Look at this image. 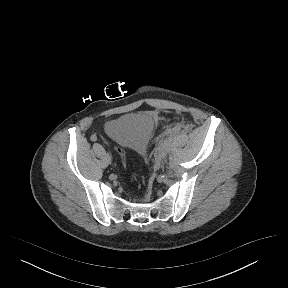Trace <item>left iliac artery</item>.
I'll use <instances>...</instances> for the list:
<instances>
[{"instance_id": "left-iliac-artery-1", "label": "left iliac artery", "mask_w": 288, "mask_h": 288, "mask_svg": "<svg viewBox=\"0 0 288 288\" xmlns=\"http://www.w3.org/2000/svg\"><path fill=\"white\" fill-rule=\"evenodd\" d=\"M166 149V141H164L160 147V151L163 152Z\"/></svg>"}]
</instances>
